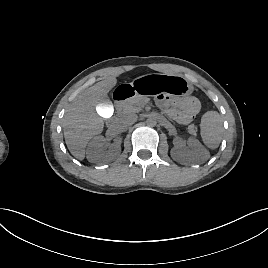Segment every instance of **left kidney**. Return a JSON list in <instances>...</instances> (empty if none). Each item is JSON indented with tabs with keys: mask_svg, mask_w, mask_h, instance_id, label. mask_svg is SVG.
<instances>
[{
	"mask_svg": "<svg viewBox=\"0 0 268 268\" xmlns=\"http://www.w3.org/2000/svg\"><path fill=\"white\" fill-rule=\"evenodd\" d=\"M170 153L174 160L183 163H200L209 158L208 151L195 138H189L187 142L176 140Z\"/></svg>",
	"mask_w": 268,
	"mask_h": 268,
	"instance_id": "1",
	"label": "left kidney"
}]
</instances>
